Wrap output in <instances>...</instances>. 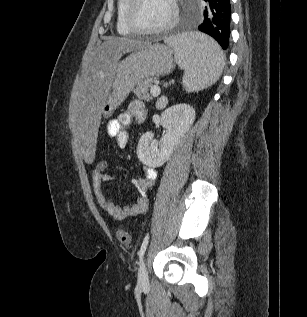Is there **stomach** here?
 <instances>
[{
  "label": "stomach",
  "mask_w": 307,
  "mask_h": 317,
  "mask_svg": "<svg viewBox=\"0 0 307 317\" xmlns=\"http://www.w3.org/2000/svg\"><path fill=\"white\" fill-rule=\"evenodd\" d=\"M174 67L173 51L166 45L147 44L133 51L117 63L103 100L102 114L111 116L137 83L169 74Z\"/></svg>",
  "instance_id": "0dacf381"
}]
</instances>
